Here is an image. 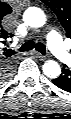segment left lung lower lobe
Returning a JSON list of instances; mask_svg holds the SVG:
<instances>
[{"instance_id": "obj_1", "label": "left lung lower lobe", "mask_w": 71, "mask_h": 119, "mask_svg": "<svg viewBox=\"0 0 71 119\" xmlns=\"http://www.w3.org/2000/svg\"><path fill=\"white\" fill-rule=\"evenodd\" d=\"M62 74L63 75H61L58 79L53 80V83L56 84L57 86L63 88V89H69L70 88L71 74L66 69V66L65 65L63 67Z\"/></svg>"}]
</instances>
